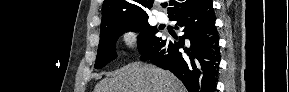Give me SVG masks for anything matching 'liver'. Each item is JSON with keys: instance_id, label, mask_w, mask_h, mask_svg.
I'll list each match as a JSON object with an SVG mask.
<instances>
[{"instance_id": "obj_1", "label": "liver", "mask_w": 289, "mask_h": 92, "mask_svg": "<svg viewBox=\"0 0 289 92\" xmlns=\"http://www.w3.org/2000/svg\"><path fill=\"white\" fill-rule=\"evenodd\" d=\"M94 92H185L182 83L169 71L135 62L101 80Z\"/></svg>"}]
</instances>
